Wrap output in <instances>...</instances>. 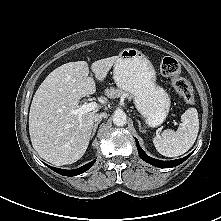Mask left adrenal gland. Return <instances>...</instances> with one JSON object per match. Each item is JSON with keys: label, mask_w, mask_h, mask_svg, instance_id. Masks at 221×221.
<instances>
[{"label": "left adrenal gland", "mask_w": 221, "mask_h": 221, "mask_svg": "<svg viewBox=\"0 0 221 221\" xmlns=\"http://www.w3.org/2000/svg\"><path fill=\"white\" fill-rule=\"evenodd\" d=\"M137 122H138V125H139V129L141 130V123H140L139 120ZM142 132H145V131H142Z\"/></svg>", "instance_id": "1"}]
</instances>
